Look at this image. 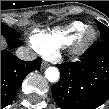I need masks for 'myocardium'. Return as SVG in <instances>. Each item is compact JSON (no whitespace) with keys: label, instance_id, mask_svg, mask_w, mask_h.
Instances as JSON below:
<instances>
[{"label":"myocardium","instance_id":"obj_1","mask_svg":"<svg viewBox=\"0 0 109 109\" xmlns=\"http://www.w3.org/2000/svg\"><path fill=\"white\" fill-rule=\"evenodd\" d=\"M96 36V31L93 28H86L72 44V54L74 56L81 55L93 44ZM49 58H52V56H50Z\"/></svg>","mask_w":109,"mask_h":109}]
</instances>
